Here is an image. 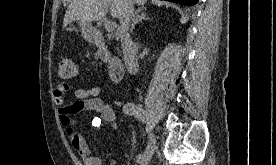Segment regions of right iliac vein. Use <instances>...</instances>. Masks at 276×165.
<instances>
[{
	"label": "right iliac vein",
	"mask_w": 276,
	"mask_h": 165,
	"mask_svg": "<svg viewBox=\"0 0 276 165\" xmlns=\"http://www.w3.org/2000/svg\"><path fill=\"white\" fill-rule=\"evenodd\" d=\"M154 136L151 135L150 136V140H149V143L147 145V148L140 160V165H148L152 155H153V151H154Z\"/></svg>",
	"instance_id": "obj_1"
}]
</instances>
